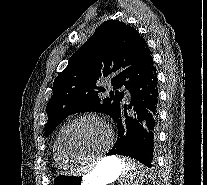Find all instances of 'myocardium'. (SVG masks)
I'll return each mask as SVG.
<instances>
[{"label": "myocardium", "mask_w": 207, "mask_h": 185, "mask_svg": "<svg viewBox=\"0 0 207 185\" xmlns=\"http://www.w3.org/2000/svg\"><path fill=\"white\" fill-rule=\"evenodd\" d=\"M84 120H97V121L103 123L108 128L111 139H114L116 136L115 129L112 126V124L110 122H108L106 119H104L103 117H100V116L94 115V114H86V115H82L78 118H75L74 120H72L70 123L67 124V126L62 134V148H63L64 152L71 159H74V160H86V159H92V158H100L104 155V150L96 152V153L76 154L70 148L69 141H68L69 134H70L72 128L77 123L84 121Z\"/></svg>", "instance_id": "f54148a6"}]
</instances>
